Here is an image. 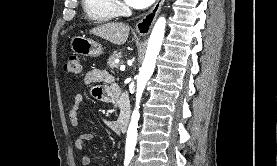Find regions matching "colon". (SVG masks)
<instances>
[{"label":"colon","instance_id":"1","mask_svg":"<svg viewBox=\"0 0 277 166\" xmlns=\"http://www.w3.org/2000/svg\"><path fill=\"white\" fill-rule=\"evenodd\" d=\"M64 71L73 75H80L82 73L81 59L78 55H70L64 64Z\"/></svg>","mask_w":277,"mask_h":166}]
</instances>
